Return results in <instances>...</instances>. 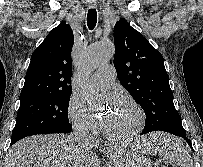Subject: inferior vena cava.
<instances>
[{"label":"inferior vena cava","mask_w":203,"mask_h":167,"mask_svg":"<svg viewBox=\"0 0 203 167\" xmlns=\"http://www.w3.org/2000/svg\"><path fill=\"white\" fill-rule=\"evenodd\" d=\"M73 139L78 145L88 146L92 143L91 135L87 130L78 129L73 133Z\"/></svg>","instance_id":"obj_1"}]
</instances>
